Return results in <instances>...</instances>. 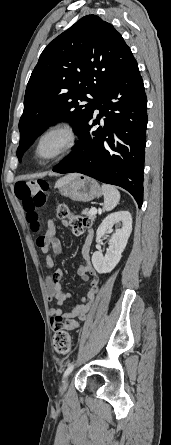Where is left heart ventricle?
<instances>
[{"label":"left heart ventricle","instance_id":"left-heart-ventricle-1","mask_svg":"<svg viewBox=\"0 0 171 445\" xmlns=\"http://www.w3.org/2000/svg\"><path fill=\"white\" fill-rule=\"evenodd\" d=\"M63 138L60 135H52L46 138L39 149L42 156H50L54 154L62 145Z\"/></svg>","mask_w":171,"mask_h":445}]
</instances>
